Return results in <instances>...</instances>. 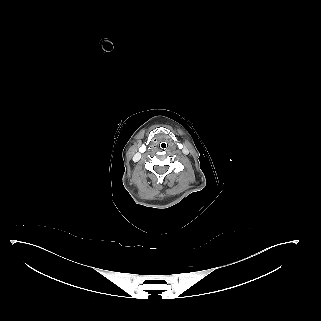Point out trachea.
<instances>
[{"mask_svg":"<svg viewBox=\"0 0 321 321\" xmlns=\"http://www.w3.org/2000/svg\"><path fill=\"white\" fill-rule=\"evenodd\" d=\"M160 148H161L162 150H165V149L167 148V145L162 142V143L160 144Z\"/></svg>","mask_w":321,"mask_h":321,"instance_id":"trachea-1","label":"trachea"}]
</instances>
